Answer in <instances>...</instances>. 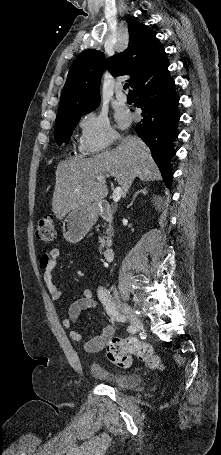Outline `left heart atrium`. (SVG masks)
Segmentation results:
<instances>
[{
	"instance_id": "1",
	"label": "left heart atrium",
	"mask_w": 221,
	"mask_h": 455,
	"mask_svg": "<svg viewBox=\"0 0 221 455\" xmlns=\"http://www.w3.org/2000/svg\"><path fill=\"white\" fill-rule=\"evenodd\" d=\"M118 121L120 124L125 125L129 121V115L126 112H121L118 114Z\"/></svg>"
}]
</instances>
